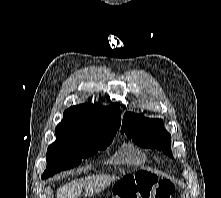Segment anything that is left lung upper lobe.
Listing matches in <instances>:
<instances>
[{
    "instance_id": "obj_1",
    "label": "left lung upper lobe",
    "mask_w": 221,
    "mask_h": 198,
    "mask_svg": "<svg viewBox=\"0 0 221 198\" xmlns=\"http://www.w3.org/2000/svg\"><path fill=\"white\" fill-rule=\"evenodd\" d=\"M121 133H125L141 147L156 148L172 156L170 134L159 119H147L140 114L127 112L123 117Z\"/></svg>"
}]
</instances>
